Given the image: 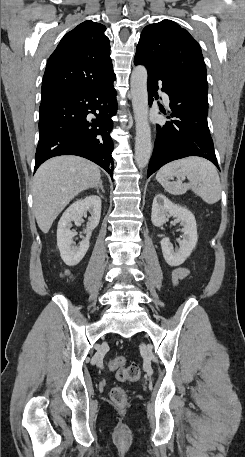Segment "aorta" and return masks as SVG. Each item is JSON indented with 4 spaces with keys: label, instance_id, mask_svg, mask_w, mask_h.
Masks as SVG:
<instances>
[{
    "label": "aorta",
    "instance_id": "aorta-1",
    "mask_svg": "<svg viewBox=\"0 0 245 457\" xmlns=\"http://www.w3.org/2000/svg\"><path fill=\"white\" fill-rule=\"evenodd\" d=\"M147 69L136 66L131 74V99L136 123L135 161L139 168H144L149 162L152 142L151 128L148 122V92Z\"/></svg>",
    "mask_w": 245,
    "mask_h": 457
}]
</instances>
